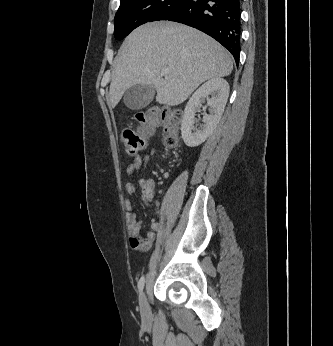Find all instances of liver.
I'll return each instance as SVG.
<instances>
[{
    "label": "liver",
    "mask_w": 333,
    "mask_h": 346,
    "mask_svg": "<svg viewBox=\"0 0 333 346\" xmlns=\"http://www.w3.org/2000/svg\"><path fill=\"white\" fill-rule=\"evenodd\" d=\"M168 68L165 78L161 69ZM230 53L192 27L174 22L147 23L123 42L113 65L109 106L115 108L125 91L152 85L159 104L183 103L204 81L231 74Z\"/></svg>",
    "instance_id": "1"
}]
</instances>
